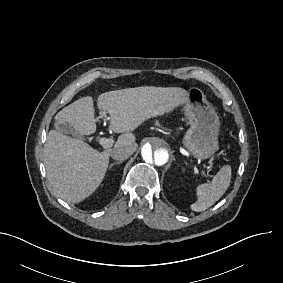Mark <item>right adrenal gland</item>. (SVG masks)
I'll return each instance as SVG.
<instances>
[{"instance_id": "2a0ac1e0", "label": "right adrenal gland", "mask_w": 283, "mask_h": 283, "mask_svg": "<svg viewBox=\"0 0 283 283\" xmlns=\"http://www.w3.org/2000/svg\"><path fill=\"white\" fill-rule=\"evenodd\" d=\"M118 164H121V162L112 163L111 166L118 165Z\"/></svg>"}]
</instances>
